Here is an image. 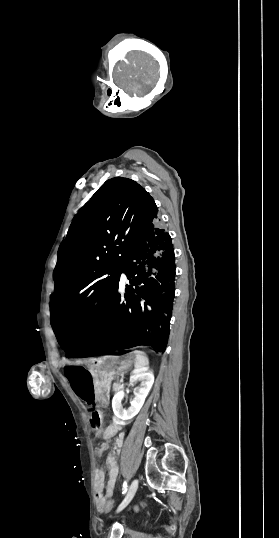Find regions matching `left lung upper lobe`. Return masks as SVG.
<instances>
[{"label": "left lung upper lobe", "instance_id": "1", "mask_svg": "<svg viewBox=\"0 0 279 538\" xmlns=\"http://www.w3.org/2000/svg\"><path fill=\"white\" fill-rule=\"evenodd\" d=\"M149 193L131 179L106 181L80 209L58 249L51 324L89 335L102 319L132 249L157 220Z\"/></svg>", "mask_w": 279, "mask_h": 538}]
</instances>
